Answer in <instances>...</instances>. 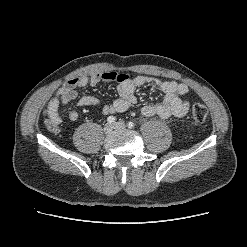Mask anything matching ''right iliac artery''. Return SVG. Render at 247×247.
<instances>
[{"mask_svg":"<svg viewBox=\"0 0 247 247\" xmlns=\"http://www.w3.org/2000/svg\"><path fill=\"white\" fill-rule=\"evenodd\" d=\"M116 121V117H114V116H109L108 118H107V122L108 123H114Z\"/></svg>","mask_w":247,"mask_h":247,"instance_id":"1","label":"right iliac artery"}]
</instances>
